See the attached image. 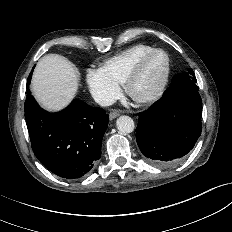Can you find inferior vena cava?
<instances>
[{"label": "inferior vena cava", "mask_w": 232, "mask_h": 232, "mask_svg": "<svg viewBox=\"0 0 232 232\" xmlns=\"http://www.w3.org/2000/svg\"><path fill=\"white\" fill-rule=\"evenodd\" d=\"M94 101L101 106H109L114 103V99L106 94H95Z\"/></svg>", "instance_id": "1"}]
</instances>
